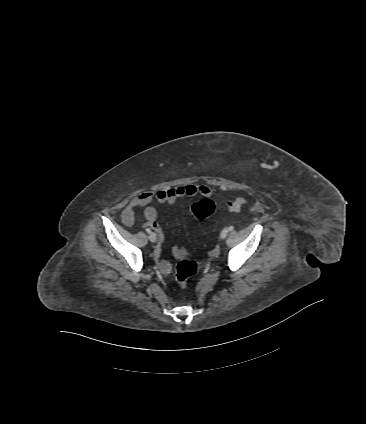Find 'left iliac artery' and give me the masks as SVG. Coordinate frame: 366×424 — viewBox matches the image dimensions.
<instances>
[{
  "label": "left iliac artery",
  "mask_w": 366,
  "mask_h": 424,
  "mask_svg": "<svg viewBox=\"0 0 366 424\" xmlns=\"http://www.w3.org/2000/svg\"><path fill=\"white\" fill-rule=\"evenodd\" d=\"M228 229H229V231H232L234 229V227L230 226Z\"/></svg>",
  "instance_id": "1"
}]
</instances>
